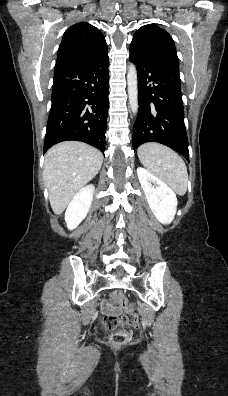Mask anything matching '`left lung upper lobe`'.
<instances>
[{"mask_svg": "<svg viewBox=\"0 0 228 396\" xmlns=\"http://www.w3.org/2000/svg\"><path fill=\"white\" fill-rule=\"evenodd\" d=\"M131 46L145 53L162 56L179 65L173 39L168 32L155 24L141 27L134 34Z\"/></svg>", "mask_w": 228, "mask_h": 396, "instance_id": "obj_1", "label": "left lung upper lobe"}]
</instances>
